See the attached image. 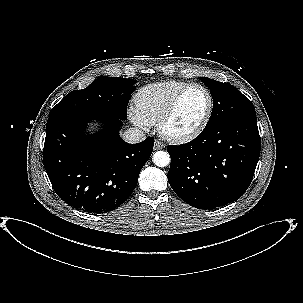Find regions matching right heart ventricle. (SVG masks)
I'll return each instance as SVG.
<instances>
[{
  "label": "right heart ventricle",
  "instance_id": "1",
  "mask_svg": "<svg viewBox=\"0 0 303 303\" xmlns=\"http://www.w3.org/2000/svg\"><path fill=\"white\" fill-rule=\"evenodd\" d=\"M188 82L170 80L146 85L134 97L135 108L150 124H156L174 97Z\"/></svg>",
  "mask_w": 303,
  "mask_h": 303
}]
</instances>
